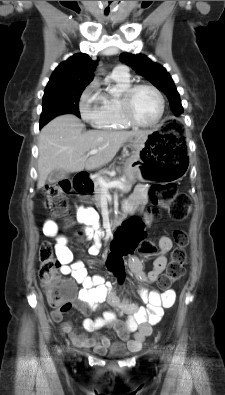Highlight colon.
Returning a JSON list of instances; mask_svg holds the SVG:
<instances>
[{
  "label": "colon",
  "instance_id": "1",
  "mask_svg": "<svg viewBox=\"0 0 225 395\" xmlns=\"http://www.w3.org/2000/svg\"><path fill=\"white\" fill-rule=\"evenodd\" d=\"M70 191L71 183L68 180L47 185L44 191L46 207L56 215H64L68 211L67 196ZM149 198L154 205L167 210L170 217L176 221L184 220L191 210L190 197L179 192L173 183L152 185L149 188ZM144 227L145 223L141 215H130L128 223H122L121 228H116V234L112 236L114 244L110 245L106 256V266L111 272V278H120L121 272H124L123 256H133L134 251L138 250L139 256L155 254V245L145 238ZM81 237L82 233L78 232L76 238L80 240ZM173 238L176 246L171 253L165 273L158 281L161 289H168L183 275L187 261V233L183 230H176ZM39 261V279L45 288L49 305L62 311L68 310L74 286L59 275L60 262L50 242L41 243Z\"/></svg>",
  "mask_w": 225,
  "mask_h": 395
}]
</instances>
